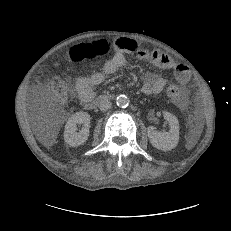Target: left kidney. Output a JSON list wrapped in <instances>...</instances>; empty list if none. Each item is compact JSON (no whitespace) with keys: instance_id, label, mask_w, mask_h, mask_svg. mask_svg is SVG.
Here are the masks:
<instances>
[{"instance_id":"obj_1","label":"left kidney","mask_w":231,"mask_h":231,"mask_svg":"<svg viewBox=\"0 0 231 231\" xmlns=\"http://www.w3.org/2000/svg\"><path fill=\"white\" fill-rule=\"evenodd\" d=\"M164 118L169 124L168 132H158L154 127L147 129L150 143L157 149L167 151L177 146L179 141V122L176 116L169 112H164Z\"/></svg>"}]
</instances>
